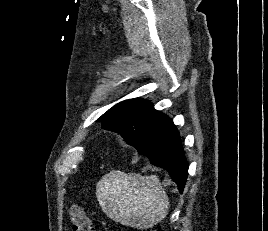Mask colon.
<instances>
[{
  "label": "colon",
  "mask_w": 268,
  "mask_h": 231,
  "mask_svg": "<svg viewBox=\"0 0 268 231\" xmlns=\"http://www.w3.org/2000/svg\"><path fill=\"white\" fill-rule=\"evenodd\" d=\"M70 223L73 231H93L90 217L79 205H72L69 211Z\"/></svg>",
  "instance_id": "1"
}]
</instances>
